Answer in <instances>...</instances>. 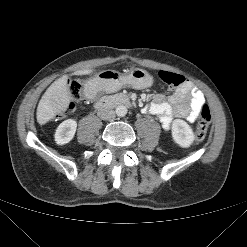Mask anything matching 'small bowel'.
Masks as SVG:
<instances>
[{"label":"small bowel","mask_w":247,"mask_h":247,"mask_svg":"<svg viewBox=\"0 0 247 247\" xmlns=\"http://www.w3.org/2000/svg\"><path fill=\"white\" fill-rule=\"evenodd\" d=\"M86 95L92 97L90 88ZM204 104V94L192 83L186 82L168 100L162 94L155 95L153 101L145 107V112L157 116L162 127L168 131L175 118H184L190 123L197 121Z\"/></svg>","instance_id":"small-bowel-1"}]
</instances>
